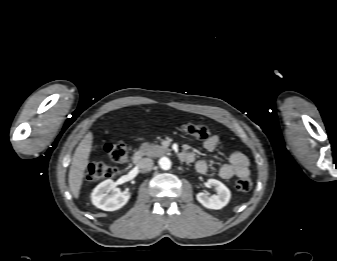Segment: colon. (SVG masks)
I'll return each instance as SVG.
<instances>
[{"mask_svg": "<svg viewBox=\"0 0 337 261\" xmlns=\"http://www.w3.org/2000/svg\"><path fill=\"white\" fill-rule=\"evenodd\" d=\"M180 129L185 134L198 140H207L211 137L210 130L204 125L184 123L180 126ZM104 151L108 159L115 164L125 162L128 156L127 147L123 143H107ZM117 173L116 167L95 161L88 165L85 176L90 181H98L113 177ZM234 185L238 191L247 192L252 188V181L247 177H242L237 179Z\"/></svg>", "mask_w": 337, "mask_h": 261, "instance_id": "1", "label": "colon"}]
</instances>
